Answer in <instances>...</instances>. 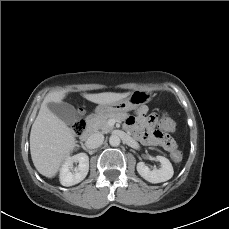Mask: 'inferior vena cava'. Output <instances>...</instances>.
Returning <instances> with one entry per match:
<instances>
[{"instance_id": "1", "label": "inferior vena cava", "mask_w": 229, "mask_h": 229, "mask_svg": "<svg viewBox=\"0 0 229 229\" xmlns=\"http://www.w3.org/2000/svg\"><path fill=\"white\" fill-rule=\"evenodd\" d=\"M104 136L102 133H94L92 134L88 140L87 144L90 148H96L103 144Z\"/></svg>"}]
</instances>
